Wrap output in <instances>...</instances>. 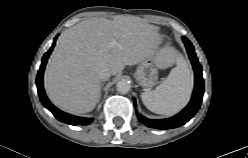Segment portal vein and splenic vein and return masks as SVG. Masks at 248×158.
Returning a JSON list of instances; mask_svg holds the SVG:
<instances>
[{
  "label": "portal vein and splenic vein",
  "mask_w": 248,
  "mask_h": 158,
  "mask_svg": "<svg viewBox=\"0 0 248 158\" xmlns=\"http://www.w3.org/2000/svg\"><path fill=\"white\" fill-rule=\"evenodd\" d=\"M117 42L116 41H113L111 44H110V47H114V46H117Z\"/></svg>",
  "instance_id": "18ae733b"
}]
</instances>
